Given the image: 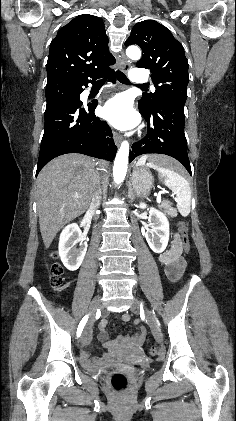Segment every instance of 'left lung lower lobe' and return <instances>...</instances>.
I'll return each instance as SVG.
<instances>
[{"label": "left lung lower lobe", "mask_w": 236, "mask_h": 421, "mask_svg": "<svg viewBox=\"0 0 236 421\" xmlns=\"http://www.w3.org/2000/svg\"><path fill=\"white\" fill-rule=\"evenodd\" d=\"M185 101L176 97L162 100L153 110L143 111L148 126L146 136L132 145L130 162L146 153L165 154L174 157L184 165L191 175L187 154V140L184 133Z\"/></svg>", "instance_id": "0a47b994"}]
</instances>
